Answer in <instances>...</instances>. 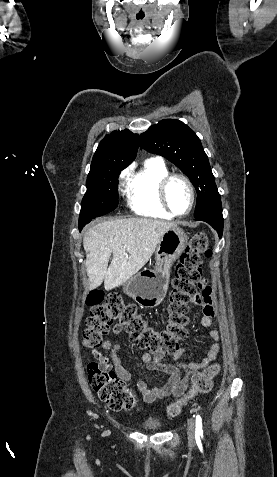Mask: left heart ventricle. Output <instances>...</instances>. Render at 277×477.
Here are the masks:
<instances>
[{
    "label": "left heart ventricle",
    "mask_w": 277,
    "mask_h": 477,
    "mask_svg": "<svg viewBox=\"0 0 277 477\" xmlns=\"http://www.w3.org/2000/svg\"><path fill=\"white\" fill-rule=\"evenodd\" d=\"M168 201L177 213H184L190 205V192L186 183L181 179H173L167 190Z\"/></svg>",
    "instance_id": "b2bd125f"
}]
</instances>
